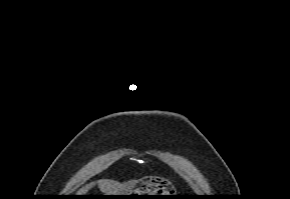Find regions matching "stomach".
Segmentation results:
<instances>
[{
    "label": "stomach",
    "mask_w": 290,
    "mask_h": 199,
    "mask_svg": "<svg viewBox=\"0 0 290 199\" xmlns=\"http://www.w3.org/2000/svg\"><path fill=\"white\" fill-rule=\"evenodd\" d=\"M114 195H175L170 188L161 181L150 179L142 181L138 186L121 194ZM117 199H150L154 196H116Z\"/></svg>",
    "instance_id": "1"
}]
</instances>
